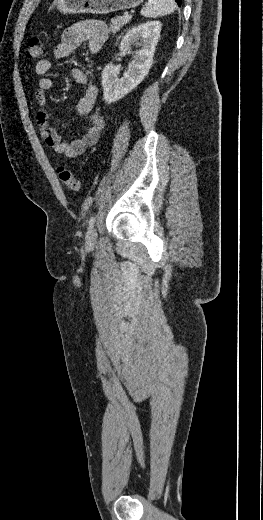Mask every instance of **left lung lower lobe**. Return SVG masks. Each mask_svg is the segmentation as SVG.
<instances>
[{
    "label": "left lung lower lobe",
    "instance_id": "1",
    "mask_svg": "<svg viewBox=\"0 0 263 520\" xmlns=\"http://www.w3.org/2000/svg\"><path fill=\"white\" fill-rule=\"evenodd\" d=\"M175 1L178 3V5H180L182 3V0H175Z\"/></svg>",
    "mask_w": 263,
    "mask_h": 520
}]
</instances>
